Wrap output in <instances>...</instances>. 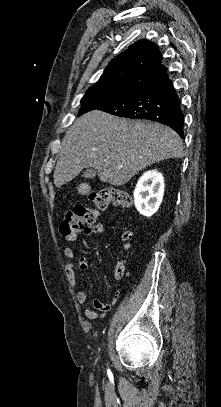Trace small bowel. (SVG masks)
<instances>
[{"instance_id": "obj_1", "label": "small bowel", "mask_w": 221, "mask_h": 407, "mask_svg": "<svg viewBox=\"0 0 221 407\" xmlns=\"http://www.w3.org/2000/svg\"><path fill=\"white\" fill-rule=\"evenodd\" d=\"M103 227L101 225H98L97 231L95 233H102L103 232ZM65 242L67 244L73 243L74 239L71 237H65L64 238ZM83 245L88 248V249H96L95 246H93L88 240L82 239ZM64 256L68 259V262L65 265V274H66V279L68 284L75 288L77 286V280H76V275H75V252L72 248L70 247H65L63 250ZM79 267L82 271H89L92 269V265L88 260L87 256H83L80 258L79 261ZM115 279H119L120 277L115 271L114 274ZM120 295V290H115L113 293V296L110 300L109 303H103L99 298H94L92 301V310H89L86 312V317L88 319H94L100 314L101 316H104L109 309L111 308L112 305L115 304L117 301L118 297ZM89 296V291L87 289H81L79 290L76 295V303L78 305H83Z\"/></svg>"}]
</instances>
